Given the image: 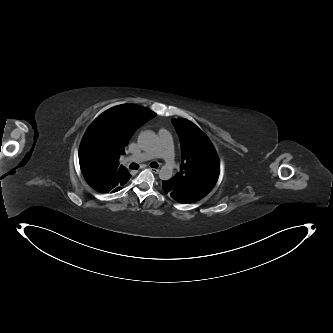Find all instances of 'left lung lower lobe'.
I'll return each mask as SVG.
<instances>
[{"instance_id": "1", "label": "left lung lower lobe", "mask_w": 333, "mask_h": 333, "mask_svg": "<svg viewBox=\"0 0 333 333\" xmlns=\"http://www.w3.org/2000/svg\"><path fill=\"white\" fill-rule=\"evenodd\" d=\"M162 191L169 197L173 198L175 201L190 204L194 203L192 200L188 199L184 195H182L178 190L172 189L169 180L162 181Z\"/></svg>"}]
</instances>
